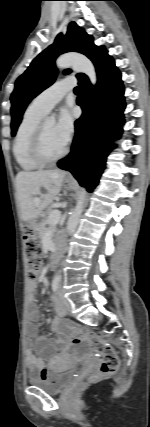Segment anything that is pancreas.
Returning a JSON list of instances; mask_svg holds the SVG:
<instances>
[{
	"label": "pancreas",
	"instance_id": "obj_1",
	"mask_svg": "<svg viewBox=\"0 0 150 427\" xmlns=\"http://www.w3.org/2000/svg\"><path fill=\"white\" fill-rule=\"evenodd\" d=\"M52 211H50L51 213ZM46 225H52L49 221V216L41 223L38 227V235L42 239L46 233H51L53 240L56 241L57 235H54V227H46Z\"/></svg>",
	"mask_w": 150,
	"mask_h": 427
}]
</instances>
